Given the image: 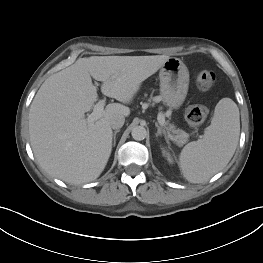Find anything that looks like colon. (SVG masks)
Instances as JSON below:
<instances>
[{
    "label": "colon",
    "instance_id": "5ec220e1",
    "mask_svg": "<svg viewBox=\"0 0 263 263\" xmlns=\"http://www.w3.org/2000/svg\"><path fill=\"white\" fill-rule=\"evenodd\" d=\"M216 81V75L213 71L202 69L195 74V83L200 90L210 89ZM208 114V110L203 105L194 104L187 108L185 119L192 127L201 125Z\"/></svg>",
    "mask_w": 263,
    "mask_h": 263
}]
</instances>
